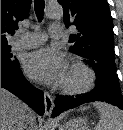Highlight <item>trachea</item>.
Returning a JSON list of instances; mask_svg holds the SVG:
<instances>
[{"label": "trachea", "mask_w": 123, "mask_h": 130, "mask_svg": "<svg viewBox=\"0 0 123 130\" xmlns=\"http://www.w3.org/2000/svg\"><path fill=\"white\" fill-rule=\"evenodd\" d=\"M44 8H45L44 0H34V9L39 20H41L43 16Z\"/></svg>", "instance_id": "obj_1"}]
</instances>
